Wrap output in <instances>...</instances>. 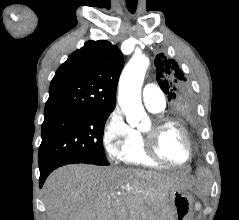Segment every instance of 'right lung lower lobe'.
<instances>
[{
    "mask_svg": "<svg viewBox=\"0 0 239 220\" xmlns=\"http://www.w3.org/2000/svg\"><path fill=\"white\" fill-rule=\"evenodd\" d=\"M68 163H56L40 170V187H42L47 176L56 168Z\"/></svg>",
    "mask_w": 239,
    "mask_h": 220,
    "instance_id": "obj_1",
    "label": "right lung lower lobe"
}]
</instances>
